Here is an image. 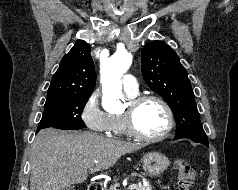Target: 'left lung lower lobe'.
<instances>
[{"mask_svg":"<svg viewBox=\"0 0 238 190\" xmlns=\"http://www.w3.org/2000/svg\"><path fill=\"white\" fill-rule=\"evenodd\" d=\"M180 138H185V137H178V138H175V139H180ZM194 142H195V141H194ZM201 144H204V145L208 146V143H205V142H203V143H201Z\"/></svg>","mask_w":238,"mask_h":190,"instance_id":"left-lung-lower-lobe-1","label":"left lung lower lobe"}]
</instances>
